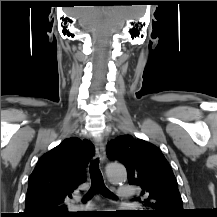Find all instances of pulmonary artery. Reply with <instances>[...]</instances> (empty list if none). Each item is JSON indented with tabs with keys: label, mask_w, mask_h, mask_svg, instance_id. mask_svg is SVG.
<instances>
[{
	"label": "pulmonary artery",
	"mask_w": 217,
	"mask_h": 217,
	"mask_svg": "<svg viewBox=\"0 0 217 217\" xmlns=\"http://www.w3.org/2000/svg\"><path fill=\"white\" fill-rule=\"evenodd\" d=\"M135 190L131 186H122L118 188L117 195L119 198L128 200L133 197Z\"/></svg>",
	"instance_id": "obj_1"
}]
</instances>
